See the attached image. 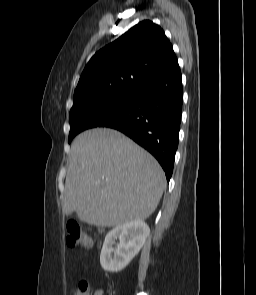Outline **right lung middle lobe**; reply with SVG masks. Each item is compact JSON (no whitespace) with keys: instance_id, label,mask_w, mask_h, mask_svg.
I'll return each mask as SVG.
<instances>
[{"instance_id":"right-lung-middle-lobe-1","label":"right lung middle lobe","mask_w":256,"mask_h":295,"mask_svg":"<svg viewBox=\"0 0 256 295\" xmlns=\"http://www.w3.org/2000/svg\"><path fill=\"white\" fill-rule=\"evenodd\" d=\"M135 97V92H129L92 102L73 101L69 115V143L81 131L95 127L99 122L111 119L128 109L133 105Z\"/></svg>"}]
</instances>
